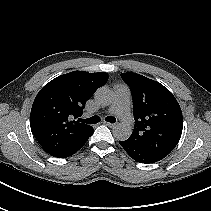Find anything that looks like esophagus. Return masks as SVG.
<instances>
[{"label": "esophagus", "instance_id": "esophagus-1", "mask_svg": "<svg viewBox=\"0 0 211 211\" xmlns=\"http://www.w3.org/2000/svg\"><path fill=\"white\" fill-rule=\"evenodd\" d=\"M104 124L107 125V126L110 127V128L116 127V124H113V123L104 122Z\"/></svg>", "mask_w": 211, "mask_h": 211}]
</instances>
